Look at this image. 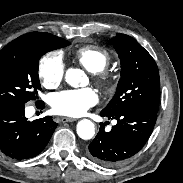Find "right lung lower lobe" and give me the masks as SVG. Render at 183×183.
I'll use <instances>...</instances> for the list:
<instances>
[{
	"mask_svg": "<svg viewBox=\"0 0 183 183\" xmlns=\"http://www.w3.org/2000/svg\"><path fill=\"white\" fill-rule=\"evenodd\" d=\"M36 105L44 107V102L36 101ZM24 109L21 102L0 104V151L16 160L42 152L57 126L50 116L28 121Z\"/></svg>",
	"mask_w": 183,
	"mask_h": 183,
	"instance_id": "1",
	"label": "right lung lower lobe"
}]
</instances>
